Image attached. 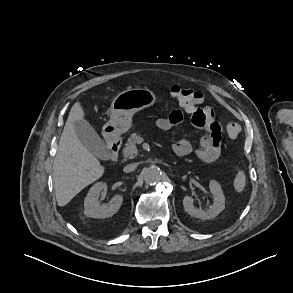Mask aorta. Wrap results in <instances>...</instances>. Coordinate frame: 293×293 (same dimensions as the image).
<instances>
[{
	"label": "aorta",
	"mask_w": 293,
	"mask_h": 293,
	"mask_svg": "<svg viewBox=\"0 0 293 293\" xmlns=\"http://www.w3.org/2000/svg\"><path fill=\"white\" fill-rule=\"evenodd\" d=\"M144 180L147 184H154L161 180L162 171L158 166H150L143 172Z\"/></svg>",
	"instance_id": "obj_1"
}]
</instances>
